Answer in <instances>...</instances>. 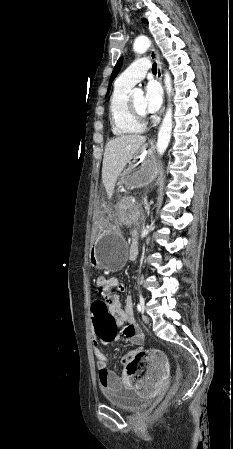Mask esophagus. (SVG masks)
<instances>
[{
  "instance_id": "1",
  "label": "esophagus",
  "mask_w": 233,
  "mask_h": 449,
  "mask_svg": "<svg viewBox=\"0 0 233 449\" xmlns=\"http://www.w3.org/2000/svg\"><path fill=\"white\" fill-rule=\"evenodd\" d=\"M150 56L157 64V79L162 84V65H161L160 59H159L157 53L154 52L153 50L150 51Z\"/></svg>"
}]
</instances>
